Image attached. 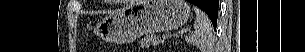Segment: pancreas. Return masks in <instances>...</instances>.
I'll return each instance as SVG.
<instances>
[{"label": "pancreas", "mask_w": 305, "mask_h": 52, "mask_svg": "<svg viewBox=\"0 0 305 52\" xmlns=\"http://www.w3.org/2000/svg\"><path fill=\"white\" fill-rule=\"evenodd\" d=\"M142 48H148L150 45L156 46L161 43L159 37L155 34L147 35L140 41Z\"/></svg>", "instance_id": "cf45deb5"}]
</instances>
